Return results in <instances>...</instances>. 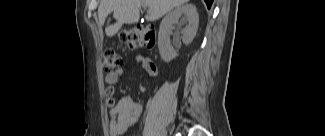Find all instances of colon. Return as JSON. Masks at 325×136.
<instances>
[{
  "label": "colon",
  "mask_w": 325,
  "mask_h": 136,
  "mask_svg": "<svg viewBox=\"0 0 325 136\" xmlns=\"http://www.w3.org/2000/svg\"><path fill=\"white\" fill-rule=\"evenodd\" d=\"M119 41L130 49L152 48L155 44V30L150 25H137L120 32ZM122 64L120 56L113 50L108 49L103 55V70L112 72Z\"/></svg>",
  "instance_id": "obj_1"
}]
</instances>
